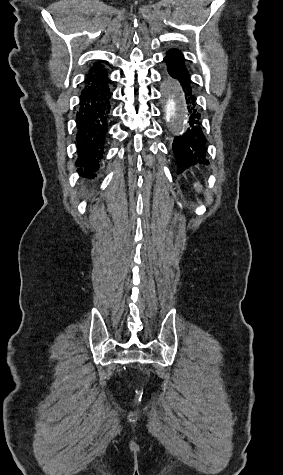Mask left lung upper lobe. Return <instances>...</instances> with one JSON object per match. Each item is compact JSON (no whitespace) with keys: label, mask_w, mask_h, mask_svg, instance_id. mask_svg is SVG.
<instances>
[{"label":"left lung upper lobe","mask_w":283,"mask_h":475,"mask_svg":"<svg viewBox=\"0 0 283 475\" xmlns=\"http://www.w3.org/2000/svg\"><path fill=\"white\" fill-rule=\"evenodd\" d=\"M172 51L175 53V54H178V55H183L179 50L177 49H172Z\"/></svg>","instance_id":"1"}]
</instances>
